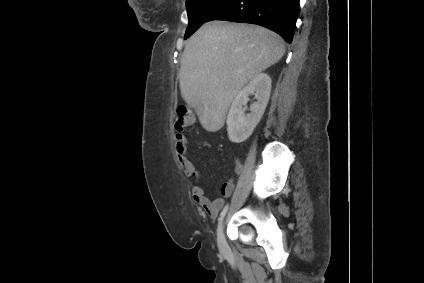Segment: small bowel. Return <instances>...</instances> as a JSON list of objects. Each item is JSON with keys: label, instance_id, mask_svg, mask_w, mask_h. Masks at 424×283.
Returning <instances> with one entry per match:
<instances>
[{"label": "small bowel", "instance_id": "obj_1", "mask_svg": "<svg viewBox=\"0 0 424 283\" xmlns=\"http://www.w3.org/2000/svg\"><path fill=\"white\" fill-rule=\"evenodd\" d=\"M176 143V155L178 160L183 166L185 174L191 179L192 182V196L194 202L200 206L207 214L215 218L221 208L224 205L223 198H213L210 199L205 194L204 189L199 186L197 183L200 179V174L195 167V165L187 157V148H186V138L182 134L175 135ZM242 172V165L240 160L235 159V166L232 172V175H240ZM234 188L233 180L230 179L228 182L223 183L221 187V195L223 197H228L231 195Z\"/></svg>", "mask_w": 424, "mask_h": 283}]
</instances>
